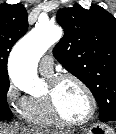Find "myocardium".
I'll return each instance as SVG.
<instances>
[{"mask_svg":"<svg viewBox=\"0 0 116 134\" xmlns=\"http://www.w3.org/2000/svg\"><path fill=\"white\" fill-rule=\"evenodd\" d=\"M65 81H72L76 83L78 86H80L84 90V92L86 93L88 97L90 109H89L88 114L81 120L75 121V120L67 119L66 117L62 115V113L58 109V106L55 100V92L58 86ZM50 87H51L50 92L47 93L44 96V98L48 105V109L52 117L56 120V122L65 126H69V127H80V126L86 125L94 118L96 111H97V101L92 90L81 79L71 74H61V75L51 78Z\"/></svg>","mask_w":116,"mask_h":134,"instance_id":"1","label":"myocardium"}]
</instances>
